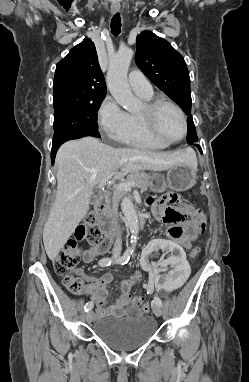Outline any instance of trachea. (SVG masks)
<instances>
[{"label": "trachea", "instance_id": "trachea-1", "mask_svg": "<svg viewBox=\"0 0 249 382\" xmlns=\"http://www.w3.org/2000/svg\"><path fill=\"white\" fill-rule=\"evenodd\" d=\"M111 33L114 35V36H117L120 34L121 32V18H120V14L119 13H116L112 20H111Z\"/></svg>", "mask_w": 249, "mask_h": 382}]
</instances>
